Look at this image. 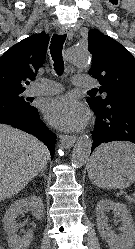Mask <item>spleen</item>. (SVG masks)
I'll use <instances>...</instances> for the list:
<instances>
[{
	"label": "spleen",
	"instance_id": "spleen-1",
	"mask_svg": "<svg viewBox=\"0 0 135 249\" xmlns=\"http://www.w3.org/2000/svg\"><path fill=\"white\" fill-rule=\"evenodd\" d=\"M116 149L124 150L126 152H132L135 151V145L127 142H117L115 144Z\"/></svg>",
	"mask_w": 135,
	"mask_h": 249
}]
</instances>
